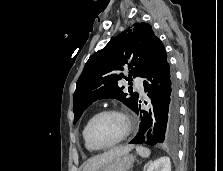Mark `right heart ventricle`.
I'll list each match as a JSON object with an SVG mask.
<instances>
[{
    "mask_svg": "<svg viewBox=\"0 0 223 171\" xmlns=\"http://www.w3.org/2000/svg\"><path fill=\"white\" fill-rule=\"evenodd\" d=\"M89 120H90V118L86 121V123L83 126V129H82V137H83V141H84V145H85L86 149L88 151H94V149L88 144V142L86 140V136H85L86 126H87V123H88Z\"/></svg>",
    "mask_w": 223,
    "mask_h": 171,
    "instance_id": "obj_1",
    "label": "right heart ventricle"
}]
</instances>
